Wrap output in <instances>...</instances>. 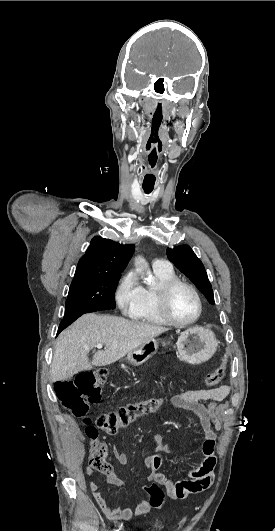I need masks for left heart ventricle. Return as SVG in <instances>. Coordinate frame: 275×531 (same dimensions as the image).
<instances>
[{"instance_id": "1", "label": "left heart ventricle", "mask_w": 275, "mask_h": 531, "mask_svg": "<svg viewBox=\"0 0 275 531\" xmlns=\"http://www.w3.org/2000/svg\"><path fill=\"white\" fill-rule=\"evenodd\" d=\"M170 313L179 321H188L197 313L193 294L183 286L175 287L169 297Z\"/></svg>"}]
</instances>
